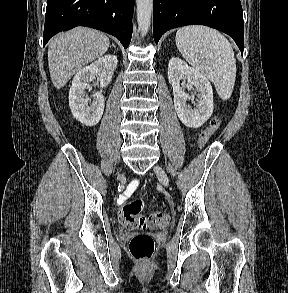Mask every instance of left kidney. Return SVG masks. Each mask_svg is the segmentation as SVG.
<instances>
[{
    "instance_id": "obj_1",
    "label": "left kidney",
    "mask_w": 288,
    "mask_h": 293,
    "mask_svg": "<svg viewBox=\"0 0 288 293\" xmlns=\"http://www.w3.org/2000/svg\"><path fill=\"white\" fill-rule=\"evenodd\" d=\"M187 79L198 94V103L192 109L187 100H194V95L187 94L180 81ZM168 80L173 88L174 107L181 122L190 128H199L213 113V91L208 79L199 71L191 68L179 58H172L168 64Z\"/></svg>"
}]
</instances>
